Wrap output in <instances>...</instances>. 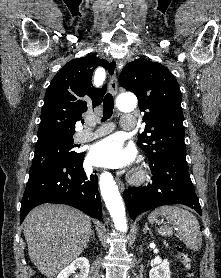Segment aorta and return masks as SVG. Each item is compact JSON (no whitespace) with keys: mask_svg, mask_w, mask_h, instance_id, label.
Returning <instances> with one entry per match:
<instances>
[{"mask_svg":"<svg viewBox=\"0 0 221 278\" xmlns=\"http://www.w3.org/2000/svg\"><path fill=\"white\" fill-rule=\"evenodd\" d=\"M136 105L135 98H126L124 96L118 99V108L122 111H129ZM99 186L101 195L105 201L106 207L113 219L115 228L120 232L127 231V221L125 216V206L122 201L118 186L109 172L100 175Z\"/></svg>","mask_w":221,"mask_h":278,"instance_id":"obj_1","label":"aorta"}]
</instances>
